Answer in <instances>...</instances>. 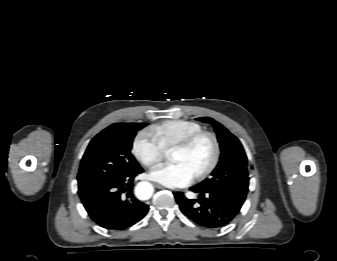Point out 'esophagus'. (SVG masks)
Returning <instances> with one entry per match:
<instances>
[{"label":"esophagus","instance_id":"obj_1","mask_svg":"<svg viewBox=\"0 0 337 261\" xmlns=\"http://www.w3.org/2000/svg\"><path fill=\"white\" fill-rule=\"evenodd\" d=\"M154 186L158 189H164V186L158 184V183H155Z\"/></svg>","mask_w":337,"mask_h":261}]
</instances>
